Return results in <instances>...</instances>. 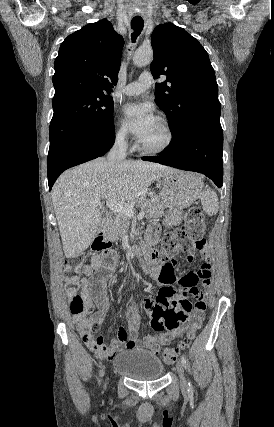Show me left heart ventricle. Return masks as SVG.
I'll return each instance as SVG.
<instances>
[{"label":"left heart ventricle","mask_w":274,"mask_h":427,"mask_svg":"<svg viewBox=\"0 0 274 427\" xmlns=\"http://www.w3.org/2000/svg\"><path fill=\"white\" fill-rule=\"evenodd\" d=\"M167 132L163 125L156 119L148 133L141 139L140 143L148 148L157 149L165 144Z\"/></svg>","instance_id":"b2bd125f"}]
</instances>
